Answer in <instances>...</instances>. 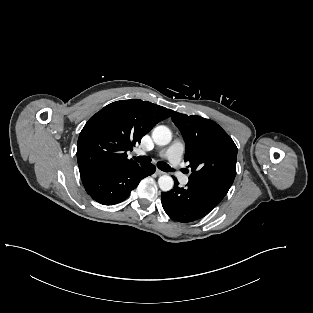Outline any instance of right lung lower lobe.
<instances>
[{
    "instance_id": "obj_1",
    "label": "right lung lower lobe",
    "mask_w": 313,
    "mask_h": 313,
    "mask_svg": "<svg viewBox=\"0 0 313 313\" xmlns=\"http://www.w3.org/2000/svg\"><path fill=\"white\" fill-rule=\"evenodd\" d=\"M155 172V166L135 165L132 167L104 171L81 176L87 193L103 205H114L129 197L139 182Z\"/></svg>"
}]
</instances>
